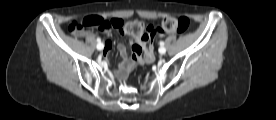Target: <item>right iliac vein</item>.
<instances>
[{
	"label": "right iliac vein",
	"instance_id": "1",
	"mask_svg": "<svg viewBox=\"0 0 276 120\" xmlns=\"http://www.w3.org/2000/svg\"><path fill=\"white\" fill-rule=\"evenodd\" d=\"M104 48V45L102 43L97 44V49L102 50Z\"/></svg>",
	"mask_w": 276,
	"mask_h": 120
}]
</instances>
